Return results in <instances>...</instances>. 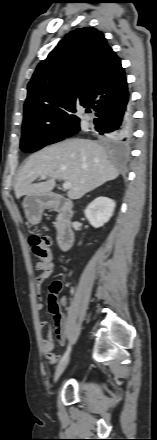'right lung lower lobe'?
I'll return each mask as SVG.
<instances>
[{"instance_id": "obj_1", "label": "right lung lower lobe", "mask_w": 157, "mask_h": 440, "mask_svg": "<svg viewBox=\"0 0 157 440\" xmlns=\"http://www.w3.org/2000/svg\"><path fill=\"white\" fill-rule=\"evenodd\" d=\"M96 116L94 129L102 137H110L116 143L131 141L132 116L129 96L106 105Z\"/></svg>"}]
</instances>
